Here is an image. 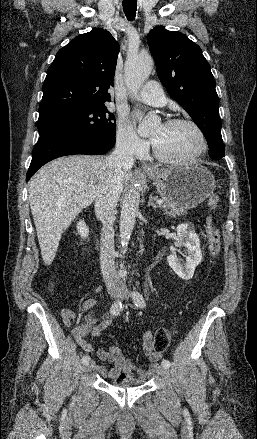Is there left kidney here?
I'll return each instance as SVG.
<instances>
[{"label":"left kidney","mask_w":257,"mask_h":439,"mask_svg":"<svg viewBox=\"0 0 257 439\" xmlns=\"http://www.w3.org/2000/svg\"><path fill=\"white\" fill-rule=\"evenodd\" d=\"M176 231L180 245L186 248V260L185 262L180 261L176 254H170L167 257V262L181 279L190 280L194 275L195 268L202 260L200 239L189 224H179Z\"/></svg>","instance_id":"obj_1"}]
</instances>
